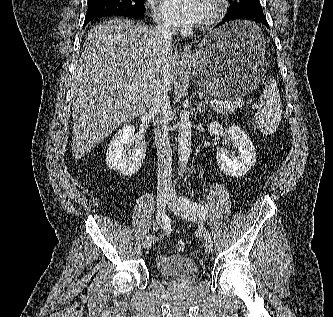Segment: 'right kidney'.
Masks as SVG:
<instances>
[{
    "label": "right kidney",
    "mask_w": 333,
    "mask_h": 317,
    "mask_svg": "<svg viewBox=\"0 0 333 317\" xmlns=\"http://www.w3.org/2000/svg\"><path fill=\"white\" fill-rule=\"evenodd\" d=\"M135 142L132 154H126V148ZM146 156V145L136 141L135 127L124 125L112 138L106 153L107 166L124 176L138 172Z\"/></svg>",
    "instance_id": "obj_1"
}]
</instances>
